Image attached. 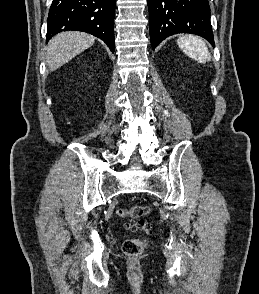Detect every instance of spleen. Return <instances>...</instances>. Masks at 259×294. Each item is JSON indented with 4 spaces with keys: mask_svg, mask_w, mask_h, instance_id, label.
<instances>
[{
    "mask_svg": "<svg viewBox=\"0 0 259 294\" xmlns=\"http://www.w3.org/2000/svg\"><path fill=\"white\" fill-rule=\"evenodd\" d=\"M177 44L186 55L199 63L204 64L211 60L206 44L198 37L182 36L177 40Z\"/></svg>",
    "mask_w": 259,
    "mask_h": 294,
    "instance_id": "spleen-1",
    "label": "spleen"
}]
</instances>
